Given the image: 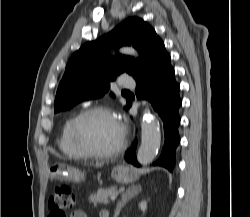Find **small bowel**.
I'll return each instance as SVG.
<instances>
[{
	"label": "small bowel",
	"mask_w": 250,
	"mask_h": 217,
	"mask_svg": "<svg viewBox=\"0 0 250 217\" xmlns=\"http://www.w3.org/2000/svg\"><path fill=\"white\" fill-rule=\"evenodd\" d=\"M102 213V212H101ZM101 213H100V217H101ZM71 217H87V214L85 211L83 210H75L72 214Z\"/></svg>",
	"instance_id": "small-bowel-1"
}]
</instances>
